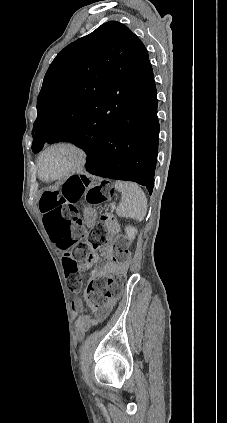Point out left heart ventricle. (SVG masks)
Masks as SVG:
<instances>
[{
    "label": "left heart ventricle",
    "instance_id": "left-heart-ventricle-1",
    "mask_svg": "<svg viewBox=\"0 0 227 423\" xmlns=\"http://www.w3.org/2000/svg\"><path fill=\"white\" fill-rule=\"evenodd\" d=\"M77 155L68 148H54L42 159L43 175L52 178L70 169L76 162Z\"/></svg>",
    "mask_w": 227,
    "mask_h": 423
}]
</instances>
